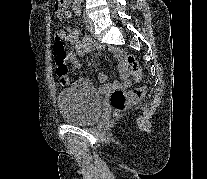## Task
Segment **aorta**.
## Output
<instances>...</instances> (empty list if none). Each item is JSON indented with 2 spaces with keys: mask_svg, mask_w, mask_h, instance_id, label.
Returning <instances> with one entry per match:
<instances>
[{
  "mask_svg": "<svg viewBox=\"0 0 207 179\" xmlns=\"http://www.w3.org/2000/svg\"><path fill=\"white\" fill-rule=\"evenodd\" d=\"M83 0H74L75 3H81Z\"/></svg>",
  "mask_w": 207,
  "mask_h": 179,
  "instance_id": "aorta-1",
  "label": "aorta"
}]
</instances>
